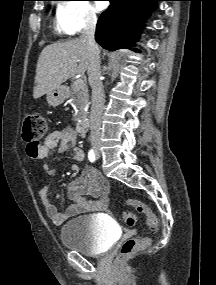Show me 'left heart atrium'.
I'll use <instances>...</instances> for the list:
<instances>
[{
  "label": "left heart atrium",
  "instance_id": "obj_1",
  "mask_svg": "<svg viewBox=\"0 0 216 285\" xmlns=\"http://www.w3.org/2000/svg\"><path fill=\"white\" fill-rule=\"evenodd\" d=\"M105 6H106L105 2H97V4H96V7L98 10L104 9Z\"/></svg>",
  "mask_w": 216,
  "mask_h": 285
}]
</instances>
